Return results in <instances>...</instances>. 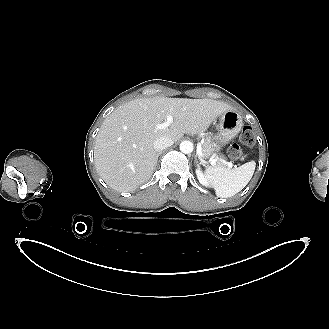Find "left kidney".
Here are the masks:
<instances>
[{
  "instance_id": "obj_1",
  "label": "left kidney",
  "mask_w": 329,
  "mask_h": 329,
  "mask_svg": "<svg viewBox=\"0 0 329 329\" xmlns=\"http://www.w3.org/2000/svg\"><path fill=\"white\" fill-rule=\"evenodd\" d=\"M195 173H196V176H197L200 184H202L203 186H209V183L206 180V178H205V176H204V174H203V172H202V170L200 168H197L195 170Z\"/></svg>"
}]
</instances>
